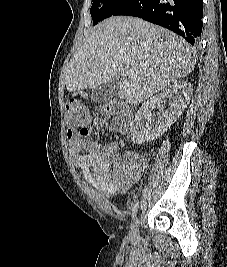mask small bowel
I'll use <instances>...</instances> for the list:
<instances>
[{"mask_svg":"<svg viewBox=\"0 0 227 267\" xmlns=\"http://www.w3.org/2000/svg\"><path fill=\"white\" fill-rule=\"evenodd\" d=\"M105 129L119 130L115 125L107 126L102 120L96 119L80 126L78 131L69 128L67 137L72 161L82 172L85 181L100 193L109 195L115 186L125 187L139 179L146 161L143 157H133L111 170L106 154L96 142L88 139L94 130Z\"/></svg>","mask_w":227,"mask_h":267,"instance_id":"c3829d8e","label":"small bowel"}]
</instances>
